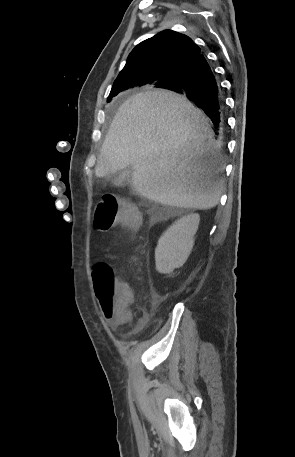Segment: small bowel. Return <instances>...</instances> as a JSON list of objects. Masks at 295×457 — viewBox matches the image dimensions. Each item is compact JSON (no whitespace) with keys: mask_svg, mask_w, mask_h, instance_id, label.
<instances>
[{"mask_svg":"<svg viewBox=\"0 0 295 457\" xmlns=\"http://www.w3.org/2000/svg\"><path fill=\"white\" fill-rule=\"evenodd\" d=\"M129 317V315H128ZM128 317L126 319H118V318H115V317H111V318H107L111 324V326L113 327H117L118 325H120L121 323L125 322Z\"/></svg>","mask_w":295,"mask_h":457,"instance_id":"obj_1","label":"small bowel"}]
</instances>
